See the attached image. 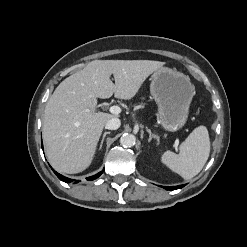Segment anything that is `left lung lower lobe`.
I'll list each match as a JSON object with an SVG mask.
<instances>
[{"mask_svg":"<svg viewBox=\"0 0 247 247\" xmlns=\"http://www.w3.org/2000/svg\"><path fill=\"white\" fill-rule=\"evenodd\" d=\"M185 185H179V186H169V187H164L167 190H176L184 187Z\"/></svg>","mask_w":247,"mask_h":247,"instance_id":"0a47b994","label":"left lung lower lobe"}]
</instances>
